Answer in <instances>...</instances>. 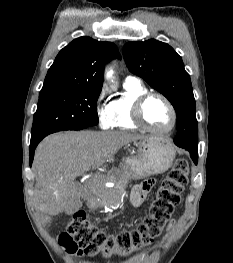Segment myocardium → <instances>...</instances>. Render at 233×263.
<instances>
[{"instance_id":"myocardium-1","label":"myocardium","mask_w":233,"mask_h":263,"mask_svg":"<svg viewBox=\"0 0 233 263\" xmlns=\"http://www.w3.org/2000/svg\"><path fill=\"white\" fill-rule=\"evenodd\" d=\"M153 97H157L161 99L167 105L168 109L170 110L172 121H171L170 126L166 129L153 128L152 126L148 124V122L146 121L144 117V107L147 101ZM132 117L137 126L143 129H146L148 131L158 133V134H166V133L171 132L175 128L176 123H177V113H176V110L173 104L165 95L159 92H146L142 94L141 96H139L133 105Z\"/></svg>"}]
</instances>
